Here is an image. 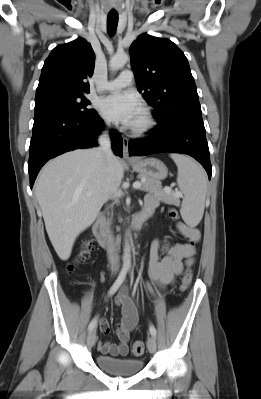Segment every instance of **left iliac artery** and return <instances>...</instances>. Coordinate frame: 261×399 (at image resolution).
Instances as JSON below:
<instances>
[{"mask_svg": "<svg viewBox=\"0 0 261 399\" xmlns=\"http://www.w3.org/2000/svg\"><path fill=\"white\" fill-rule=\"evenodd\" d=\"M131 277L133 276L131 275ZM149 330L152 336H156V329L153 325H150Z\"/></svg>", "mask_w": 261, "mask_h": 399, "instance_id": "left-iliac-artery-1", "label": "left iliac artery"}]
</instances>
